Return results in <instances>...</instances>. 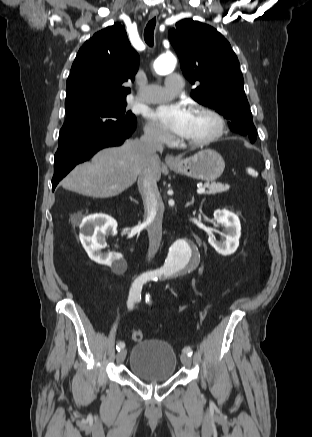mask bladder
Masks as SVG:
<instances>
[{
  "mask_svg": "<svg viewBox=\"0 0 312 437\" xmlns=\"http://www.w3.org/2000/svg\"><path fill=\"white\" fill-rule=\"evenodd\" d=\"M177 356L172 346L161 339H147L132 348L129 358L131 373L149 383H161L175 374Z\"/></svg>",
  "mask_w": 312,
  "mask_h": 437,
  "instance_id": "obj_1",
  "label": "bladder"
}]
</instances>
